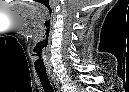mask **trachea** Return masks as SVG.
I'll return each mask as SVG.
<instances>
[{"label": "trachea", "instance_id": "1", "mask_svg": "<svg viewBox=\"0 0 129 92\" xmlns=\"http://www.w3.org/2000/svg\"><path fill=\"white\" fill-rule=\"evenodd\" d=\"M38 74V77L40 79V82L42 84V87L45 92H54L53 87L50 84V81L48 79L46 71H36Z\"/></svg>", "mask_w": 129, "mask_h": 92}]
</instances>
